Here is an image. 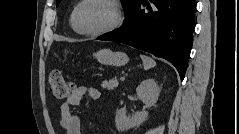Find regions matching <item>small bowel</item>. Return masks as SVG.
<instances>
[{
	"label": "small bowel",
	"instance_id": "1",
	"mask_svg": "<svg viewBox=\"0 0 239 134\" xmlns=\"http://www.w3.org/2000/svg\"><path fill=\"white\" fill-rule=\"evenodd\" d=\"M97 100L100 91L91 86H78L72 94L60 106V125L66 134H81L79 118L72 112V108L78 106L83 98Z\"/></svg>",
	"mask_w": 239,
	"mask_h": 134
}]
</instances>
